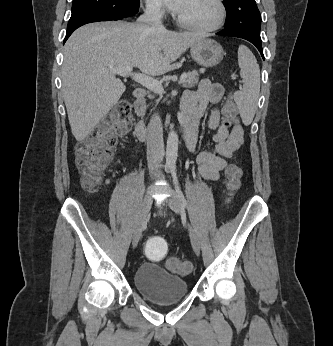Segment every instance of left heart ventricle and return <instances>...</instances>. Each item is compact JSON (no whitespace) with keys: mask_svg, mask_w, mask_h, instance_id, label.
Listing matches in <instances>:
<instances>
[{"mask_svg":"<svg viewBox=\"0 0 333 346\" xmlns=\"http://www.w3.org/2000/svg\"><path fill=\"white\" fill-rule=\"evenodd\" d=\"M217 15L218 9L214 0H188L179 13L183 19L202 26L215 22Z\"/></svg>","mask_w":333,"mask_h":346,"instance_id":"b2bd125f","label":"left heart ventricle"}]
</instances>
